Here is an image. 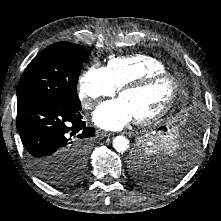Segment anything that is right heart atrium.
<instances>
[{
  "instance_id": "right-heart-atrium-1",
  "label": "right heart atrium",
  "mask_w": 221,
  "mask_h": 221,
  "mask_svg": "<svg viewBox=\"0 0 221 221\" xmlns=\"http://www.w3.org/2000/svg\"><path fill=\"white\" fill-rule=\"evenodd\" d=\"M117 88L107 69L101 65L90 66L80 77L78 95L82 106L91 109L101 98L115 95Z\"/></svg>"
}]
</instances>
